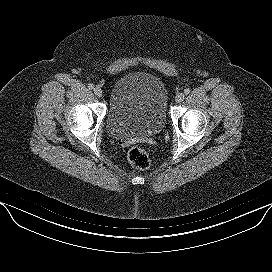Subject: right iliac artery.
Instances as JSON below:
<instances>
[{
  "label": "right iliac artery",
  "instance_id": "obj_1",
  "mask_svg": "<svg viewBox=\"0 0 272 272\" xmlns=\"http://www.w3.org/2000/svg\"><path fill=\"white\" fill-rule=\"evenodd\" d=\"M88 88L89 89H93L94 88V85L92 83L88 84Z\"/></svg>",
  "mask_w": 272,
  "mask_h": 272
}]
</instances>
